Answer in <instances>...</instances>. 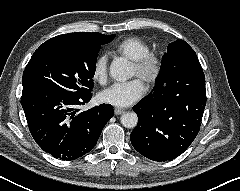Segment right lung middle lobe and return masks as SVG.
Returning <instances> with one entry per match:
<instances>
[{"label":"right lung middle lobe","mask_w":240,"mask_h":191,"mask_svg":"<svg viewBox=\"0 0 240 191\" xmlns=\"http://www.w3.org/2000/svg\"><path fill=\"white\" fill-rule=\"evenodd\" d=\"M100 46L81 47L46 41L25 67L23 86H49L76 96L89 94L94 86L92 78Z\"/></svg>","instance_id":"obj_1"}]
</instances>
